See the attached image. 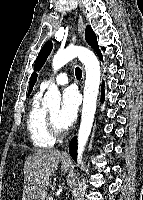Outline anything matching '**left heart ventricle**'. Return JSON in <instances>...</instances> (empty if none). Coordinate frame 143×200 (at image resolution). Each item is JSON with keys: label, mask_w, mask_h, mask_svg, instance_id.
I'll use <instances>...</instances> for the list:
<instances>
[{"label": "left heart ventricle", "mask_w": 143, "mask_h": 200, "mask_svg": "<svg viewBox=\"0 0 143 200\" xmlns=\"http://www.w3.org/2000/svg\"><path fill=\"white\" fill-rule=\"evenodd\" d=\"M51 116H52V119L56 125V127L60 130H62V126L60 125L59 121H58V112H59V108L56 107V108H52L49 110Z\"/></svg>", "instance_id": "b2bd125f"}]
</instances>
